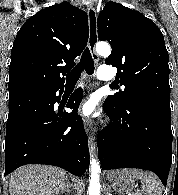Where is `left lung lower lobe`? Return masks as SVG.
<instances>
[{"instance_id": "1", "label": "left lung lower lobe", "mask_w": 178, "mask_h": 195, "mask_svg": "<svg viewBox=\"0 0 178 195\" xmlns=\"http://www.w3.org/2000/svg\"><path fill=\"white\" fill-rule=\"evenodd\" d=\"M109 125L98 132L102 169L151 170L166 186L172 162L171 113L144 105L116 110L105 100Z\"/></svg>"}]
</instances>
